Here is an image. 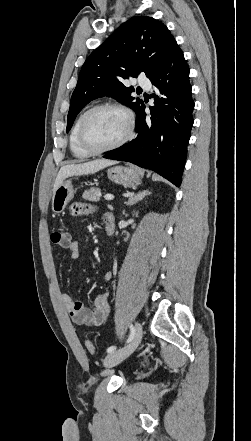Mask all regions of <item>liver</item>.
<instances>
[{
  "label": "liver",
  "mask_w": 251,
  "mask_h": 441,
  "mask_svg": "<svg viewBox=\"0 0 251 441\" xmlns=\"http://www.w3.org/2000/svg\"><path fill=\"white\" fill-rule=\"evenodd\" d=\"M116 164L115 161L97 159L85 163L68 164L61 167L56 177L53 192L59 187V185L68 177L77 175L94 174L101 169Z\"/></svg>",
  "instance_id": "liver-1"
}]
</instances>
